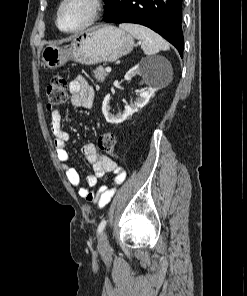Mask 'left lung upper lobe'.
Listing matches in <instances>:
<instances>
[{"label": "left lung upper lobe", "instance_id": "5c2ea615", "mask_svg": "<svg viewBox=\"0 0 247 296\" xmlns=\"http://www.w3.org/2000/svg\"><path fill=\"white\" fill-rule=\"evenodd\" d=\"M105 1V3H106V8H105V10H104V13L109 9V7H110V3H111V1L112 0H104Z\"/></svg>", "mask_w": 247, "mask_h": 296}]
</instances>
